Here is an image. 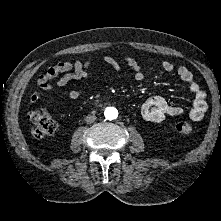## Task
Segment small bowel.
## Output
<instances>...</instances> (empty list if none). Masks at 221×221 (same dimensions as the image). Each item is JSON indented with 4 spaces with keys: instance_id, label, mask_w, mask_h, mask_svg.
Masks as SVG:
<instances>
[{
    "instance_id": "1",
    "label": "small bowel",
    "mask_w": 221,
    "mask_h": 221,
    "mask_svg": "<svg viewBox=\"0 0 221 221\" xmlns=\"http://www.w3.org/2000/svg\"><path fill=\"white\" fill-rule=\"evenodd\" d=\"M104 60L115 70L119 69V65L113 57L105 56ZM125 61L134 72V78L136 80L141 81L145 78V73L142 72V67L137 60L132 57H125ZM90 63L91 59L75 61L74 63L60 62L50 68L56 73H63L57 81V87L63 88L71 81L87 79L89 77L87 69ZM160 66L165 72H172L175 68L174 64L169 60H162ZM177 75L187 84L188 90L193 96L190 117L194 121H200L207 110L206 93L195 81L192 72L187 67H178ZM46 86L47 87L43 86V81L40 76L36 82V90L30 95V101L32 103L39 100L43 91L50 89L49 84ZM81 97L82 93L80 90H72L69 93V98L72 100H78ZM141 112L145 119L152 122H160L167 117L179 116L184 113V110L181 107L171 105L161 96H153L146 100L141 108Z\"/></svg>"
}]
</instances>
